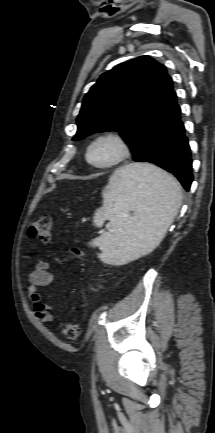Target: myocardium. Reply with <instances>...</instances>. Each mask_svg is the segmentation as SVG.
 <instances>
[{
	"mask_svg": "<svg viewBox=\"0 0 215 433\" xmlns=\"http://www.w3.org/2000/svg\"><path fill=\"white\" fill-rule=\"evenodd\" d=\"M101 141H112L117 146V154L116 156L106 163H95L90 159V153L92 148ZM130 155V147L126 139L117 132H104L97 135L92 141L88 144L85 158L89 165L97 169H110L119 166L122 164Z\"/></svg>",
	"mask_w": 215,
	"mask_h": 433,
	"instance_id": "obj_1",
	"label": "myocardium"
}]
</instances>
